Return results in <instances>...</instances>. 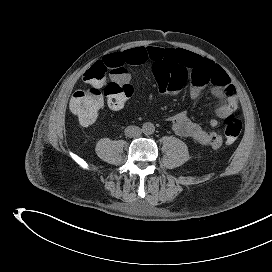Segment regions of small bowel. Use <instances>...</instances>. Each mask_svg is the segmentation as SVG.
I'll return each mask as SVG.
<instances>
[{"mask_svg":"<svg viewBox=\"0 0 272 272\" xmlns=\"http://www.w3.org/2000/svg\"><path fill=\"white\" fill-rule=\"evenodd\" d=\"M148 62L152 63L159 94L176 95L189 79L188 96L192 101L201 96L207 85L211 86V94L216 101L215 113L219 118H226L239 110L237 91L225 70L191 51L180 48L135 47L108 54L99 63L109 68L118 66L125 68ZM113 77L117 78L115 75ZM125 78L128 80V72ZM171 124L175 133L199 144L218 149L223 143L222 135L216 131L218 127L216 119L210 121V131L192 121L185 112L173 116Z\"/></svg>","mask_w":272,"mask_h":272,"instance_id":"small-bowel-1","label":"small bowel"}]
</instances>
